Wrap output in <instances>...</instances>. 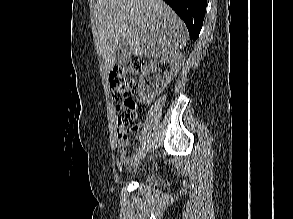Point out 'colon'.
I'll list each match as a JSON object with an SVG mask.
<instances>
[{"instance_id":"colon-1","label":"colon","mask_w":293,"mask_h":219,"mask_svg":"<svg viewBox=\"0 0 293 219\" xmlns=\"http://www.w3.org/2000/svg\"><path fill=\"white\" fill-rule=\"evenodd\" d=\"M143 64L142 59L132 58L115 67L109 74L111 98L116 104L118 130L126 135L136 129L137 103L134 93L136 77Z\"/></svg>"}]
</instances>
